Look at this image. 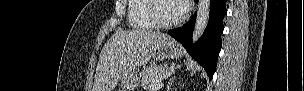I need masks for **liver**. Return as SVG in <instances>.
Here are the masks:
<instances>
[{"label": "liver", "instance_id": "obj_1", "mask_svg": "<svg viewBox=\"0 0 304 91\" xmlns=\"http://www.w3.org/2000/svg\"><path fill=\"white\" fill-rule=\"evenodd\" d=\"M167 38L147 30L117 31L100 53L93 91H112L126 72L146 65Z\"/></svg>", "mask_w": 304, "mask_h": 91}]
</instances>
